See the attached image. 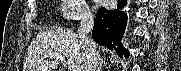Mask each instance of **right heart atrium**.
<instances>
[{
  "mask_svg": "<svg viewBox=\"0 0 181 71\" xmlns=\"http://www.w3.org/2000/svg\"><path fill=\"white\" fill-rule=\"evenodd\" d=\"M63 15L67 19H86L89 10L83 0H65L63 2Z\"/></svg>",
  "mask_w": 181,
  "mask_h": 71,
  "instance_id": "d8ad5b80",
  "label": "right heart atrium"
}]
</instances>
